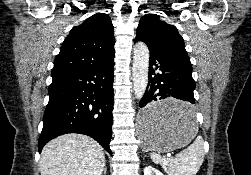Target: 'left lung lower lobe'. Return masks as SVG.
<instances>
[{
    "mask_svg": "<svg viewBox=\"0 0 251 175\" xmlns=\"http://www.w3.org/2000/svg\"><path fill=\"white\" fill-rule=\"evenodd\" d=\"M137 41L139 40L135 39V42ZM194 89L191 64L150 50L149 82L140 101V123L144 126H154L192 120L196 116V108L193 106ZM171 97L187 103L172 106L154 105L155 101Z\"/></svg>",
    "mask_w": 251,
    "mask_h": 175,
    "instance_id": "left-lung-lower-lobe-1",
    "label": "left lung lower lobe"
}]
</instances>
